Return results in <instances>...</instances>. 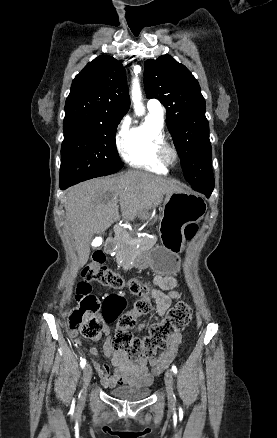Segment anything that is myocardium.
Instances as JSON below:
<instances>
[{
	"label": "myocardium",
	"instance_id": "f54148a6",
	"mask_svg": "<svg viewBox=\"0 0 277 438\" xmlns=\"http://www.w3.org/2000/svg\"><path fill=\"white\" fill-rule=\"evenodd\" d=\"M157 156L159 162L167 168L173 167L179 160L177 148L168 141L163 142L158 147Z\"/></svg>",
	"mask_w": 277,
	"mask_h": 438
}]
</instances>
